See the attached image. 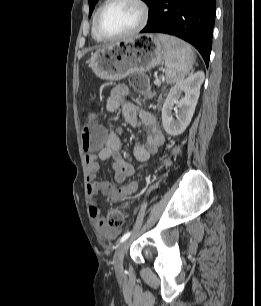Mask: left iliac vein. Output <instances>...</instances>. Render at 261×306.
Masks as SVG:
<instances>
[{
  "mask_svg": "<svg viewBox=\"0 0 261 306\" xmlns=\"http://www.w3.org/2000/svg\"><path fill=\"white\" fill-rule=\"evenodd\" d=\"M129 241L126 240L123 243H121L118 248L116 249L115 255H114V267L115 269H121L123 266V259L125 255L126 248L128 246Z\"/></svg>",
  "mask_w": 261,
  "mask_h": 306,
  "instance_id": "obj_1",
  "label": "left iliac vein"
}]
</instances>
